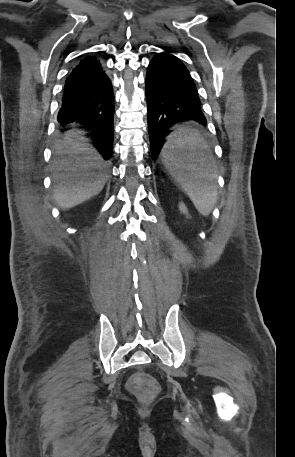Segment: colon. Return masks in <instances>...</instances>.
Masks as SVG:
<instances>
[{"mask_svg": "<svg viewBox=\"0 0 295 457\" xmlns=\"http://www.w3.org/2000/svg\"><path fill=\"white\" fill-rule=\"evenodd\" d=\"M131 390H138L145 398L152 396L157 391L155 374H133Z\"/></svg>", "mask_w": 295, "mask_h": 457, "instance_id": "1", "label": "colon"}]
</instances>
